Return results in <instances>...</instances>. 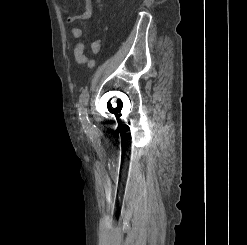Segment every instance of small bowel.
<instances>
[{
    "label": "small bowel",
    "mask_w": 247,
    "mask_h": 245,
    "mask_svg": "<svg viewBox=\"0 0 247 245\" xmlns=\"http://www.w3.org/2000/svg\"><path fill=\"white\" fill-rule=\"evenodd\" d=\"M60 1L62 4V7L66 11V18L68 22L86 20L90 18L93 14V7H92L91 0H85V9L81 14H78V15H72L68 11L65 0H60ZM71 33L75 39H79L82 36V30L77 26L72 27ZM91 49L93 53H98L101 49V42L99 40L93 41L91 43ZM74 56H75V60L77 63L84 64L89 68H92L95 64L92 58H89L85 55V42L84 41L77 43L74 49Z\"/></svg>",
    "instance_id": "obj_1"
}]
</instances>
